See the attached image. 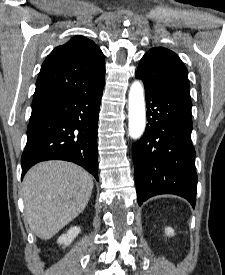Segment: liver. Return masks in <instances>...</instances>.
<instances>
[{"label":"liver","mask_w":225,"mask_h":275,"mask_svg":"<svg viewBox=\"0 0 225 275\" xmlns=\"http://www.w3.org/2000/svg\"><path fill=\"white\" fill-rule=\"evenodd\" d=\"M94 183L80 166L65 161L41 162L25 175L22 193L32 232L48 240L87 206Z\"/></svg>","instance_id":"1"}]
</instances>
